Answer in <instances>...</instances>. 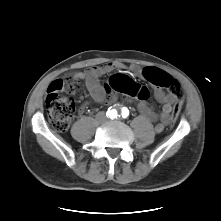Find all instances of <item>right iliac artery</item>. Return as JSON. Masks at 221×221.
Segmentation results:
<instances>
[{
	"instance_id": "1",
	"label": "right iliac artery",
	"mask_w": 221,
	"mask_h": 221,
	"mask_svg": "<svg viewBox=\"0 0 221 221\" xmlns=\"http://www.w3.org/2000/svg\"><path fill=\"white\" fill-rule=\"evenodd\" d=\"M110 109H108V112H107V116H109L110 118H116V116H117V111L115 110V109H113V110H110Z\"/></svg>"
}]
</instances>
